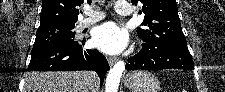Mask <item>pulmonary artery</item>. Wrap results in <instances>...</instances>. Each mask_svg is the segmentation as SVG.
Here are the masks:
<instances>
[{
    "mask_svg": "<svg viewBox=\"0 0 225 92\" xmlns=\"http://www.w3.org/2000/svg\"><path fill=\"white\" fill-rule=\"evenodd\" d=\"M117 11H118V13L123 14V15H130L131 10L129 9V3L123 2V1L118 2L117 3ZM85 14L87 15V17L78 22L79 29H83L87 26H90V25L94 24L95 22L104 18L103 13L96 12L93 10H87V11H85Z\"/></svg>",
    "mask_w": 225,
    "mask_h": 92,
    "instance_id": "e3ab8cb5",
    "label": "pulmonary artery"
}]
</instances>
